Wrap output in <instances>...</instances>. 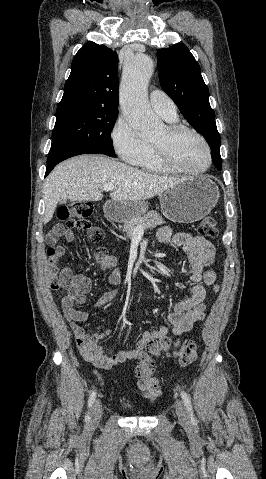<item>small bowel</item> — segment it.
Here are the masks:
<instances>
[{"label":"small bowel","mask_w":266,"mask_h":479,"mask_svg":"<svg viewBox=\"0 0 266 479\" xmlns=\"http://www.w3.org/2000/svg\"><path fill=\"white\" fill-rule=\"evenodd\" d=\"M66 241L73 242L75 235L70 230L60 233ZM158 240L162 244L180 247L188 254L190 279L192 287L188 298L178 301L168 315L170 327L163 326L145 330L142 336L136 340L133 347L122 350L115 354H108L99 346V341L110 334V330L104 332L89 333L81 325L89 319L90 313L77 309V305L84 304L91 290L90 279L83 274L76 273L70 267L62 268L53 279V288L59 291L60 305L65 319L70 324L76 345L83 358L102 369H110L120 365L126 360L136 359L150 341L165 338L169 333L181 336L189 332L193 326L204 320L206 303L205 286L218 290L217 276L212 268L215 258V248L212 243L202 236L188 232L174 233L169 226H162L158 230ZM94 262L104 271H110L108 282L112 286L122 283V273L116 269L117 260L109 255L103 248H97L93 256ZM119 290L114 288L104 293L96 304V309L101 310L105 305L115 300Z\"/></svg>","instance_id":"obj_1"}]
</instances>
